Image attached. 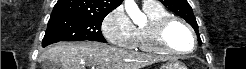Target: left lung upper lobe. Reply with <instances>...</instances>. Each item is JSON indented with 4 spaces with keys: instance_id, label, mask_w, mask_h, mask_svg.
Here are the masks:
<instances>
[{
    "instance_id": "5c2ea615",
    "label": "left lung upper lobe",
    "mask_w": 246,
    "mask_h": 69,
    "mask_svg": "<svg viewBox=\"0 0 246 69\" xmlns=\"http://www.w3.org/2000/svg\"><path fill=\"white\" fill-rule=\"evenodd\" d=\"M160 2L169 10L186 20L194 28L198 36V43L201 45L202 41L200 39L198 25L188 2L186 0H160Z\"/></svg>"
}]
</instances>
